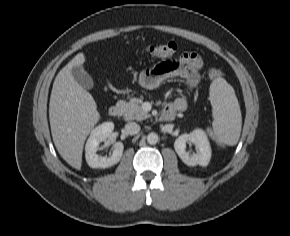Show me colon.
Here are the masks:
<instances>
[{
	"label": "colon",
	"instance_id": "obj_1",
	"mask_svg": "<svg viewBox=\"0 0 290 236\" xmlns=\"http://www.w3.org/2000/svg\"><path fill=\"white\" fill-rule=\"evenodd\" d=\"M175 42H167L163 44H152L144 47V53L151 58H168L173 56L177 51ZM208 76L211 79H218L223 76V72L218 68H211L208 71Z\"/></svg>",
	"mask_w": 290,
	"mask_h": 236
}]
</instances>
